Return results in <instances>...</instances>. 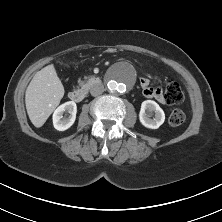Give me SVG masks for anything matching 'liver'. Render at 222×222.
Returning <instances> with one entry per match:
<instances>
[{
  "label": "liver",
  "instance_id": "6515ba94",
  "mask_svg": "<svg viewBox=\"0 0 222 222\" xmlns=\"http://www.w3.org/2000/svg\"><path fill=\"white\" fill-rule=\"evenodd\" d=\"M64 92L53 64L34 75L26 89L25 104L29 119L35 127L39 128L46 122L59 105Z\"/></svg>",
  "mask_w": 222,
  "mask_h": 222
}]
</instances>
